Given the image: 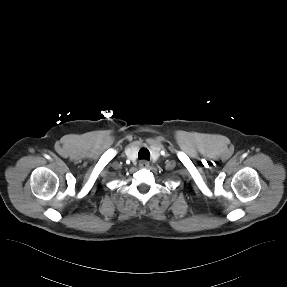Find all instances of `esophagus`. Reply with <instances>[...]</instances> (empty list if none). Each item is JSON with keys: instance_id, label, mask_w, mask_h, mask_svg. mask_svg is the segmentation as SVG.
<instances>
[{"instance_id": "esophagus-1", "label": "esophagus", "mask_w": 287, "mask_h": 287, "mask_svg": "<svg viewBox=\"0 0 287 287\" xmlns=\"http://www.w3.org/2000/svg\"><path fill=\"white\" fill-rule=\"evenodd\" d=\"M139 166H140L141 168L149 167V161H147V160H145V159H142V160H140V162H139Z\"/></svg>"}]
</instances>
